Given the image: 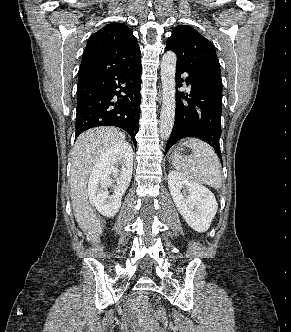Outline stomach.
Instances as JSON below:
<instances>
[{"label":"stomach","instance_id":"stomach-1","mask_svg":"<svg viewBox=\"0 0 291 332\" xmlns=\"http://www.w3.org/2000/svg\"><path fill=\"white\" fill-rule=\"evenodd\" d=\"M173 156H185V155L183 154V151H182L181 148H176V149L174 150L173 154H172V157H173ZM172 157H171V158H172Z\"/></svg>","mask_w":291,"mask_h":332}]
</instances>
